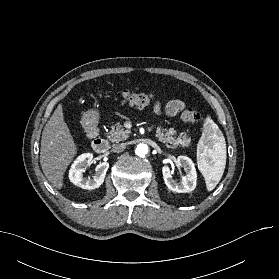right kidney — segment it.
Listing matches in <instances>:
<instances>
[{"label": "right kidney", "instance_id": "ca27d5eb", "mask_svg": "<svg viewBox=\"0 0 279 279\" xmlns=\"http://www.w3.org/2000/svg\"><path fill=\"white\" fill-rule=\"evenodd\" d=\"M92 160L93 154L84 153L78 156L74 161L69 171V179L74 185L82 189L93 190L99 188L103 184L106 172L109 168L108 162H102L96 166V173L93 178H86L83 176L86 166L91 164Z\"/></svg>", "mask_w": 279, "mask_h": 279}]
</instances>
